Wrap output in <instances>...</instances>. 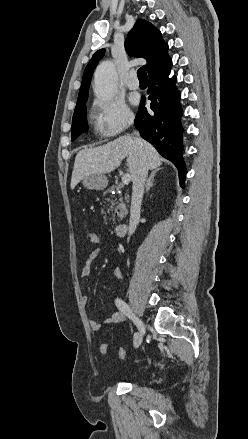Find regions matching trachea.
Here are the masks:
<instances>
[{"instance_id": "3493384b", "label": "trachea", "mask_w": 248, "mask_h": 439, "mask_svg": "<svg viewBox=\"0 0 248 439\" xmlns=\"http://www.w3.org/2000/svg\"><path fill=\"white\" fill-rule=\"evenodd\" d=\"M137 76L139 80H147V73L143 67L139 68L137 71Z\"/></svg>"}]
</instances>
